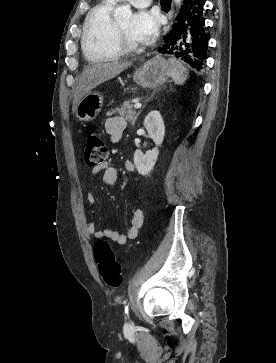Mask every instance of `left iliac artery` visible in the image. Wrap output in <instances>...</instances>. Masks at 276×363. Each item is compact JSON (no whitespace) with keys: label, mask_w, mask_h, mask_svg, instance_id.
<instances>
[{"label":"left iliac artery","mask_w":276,"mask_h":363,"mask_svg":"<svg viewBox=\"0 0 276 363\" xmlns=\"http://www.w3.org/2000/svg\"><path fill=\"white\" fill-rule=\"evenodd\" d=\"M124 303H125V304H128V299H125ZM125 313H126V314L128 313V307H126V309H125Z\"/></svg>","instance_id":"1"}]
</instances>
